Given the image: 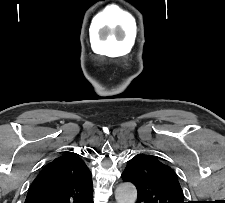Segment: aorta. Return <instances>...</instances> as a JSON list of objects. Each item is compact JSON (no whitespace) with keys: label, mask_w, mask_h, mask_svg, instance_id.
<instances>
[{"label":"aorta","mask_w":225,"mask_h":203,"mask_svg":"<svg viewBox=\"0 0 225 203\" xmlns=\"http://www.w3.org/2000/svg\"><path fill=\"white\" fill-rule=\"evenodd\" d=\"M117 203H135L137 199L136 187L131 183L120 184L115 191Z\"/></svg>","instance_id":"762f6f07"}]
</instances>
